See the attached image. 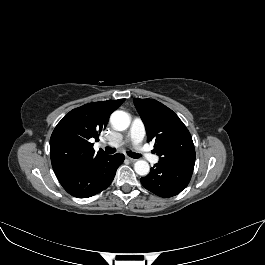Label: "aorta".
Returning a JSON list of instances; mask_svg holds the SVG:
<instances>
[{"label":"aorta","instance_id":"obj_1","mask_svg":"<svg viewBox=\"0 0 265 265\" xmlns=\"http://www.w3.org/2000/svg\"><path fill=\"white\" fill-rule=\"evenodd\" d=\"M131 119L128 113L122 110H117L112 113L110 123L117 131L126 130L130 125ZM134 170L138 175L145 176L150 171V166L145 160H138L134 164Z\"/></svg>","mask_w":265,"mask_h":265}]
</instances>
